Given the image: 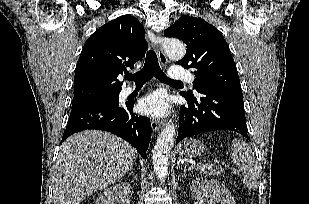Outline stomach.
<instances>
[{"label":"stomach","instance_id":"0dacf381","mask_svg":"<svg viewBox=\"0 0 309 204\" xmlns=\"http://www.w3.org/2000/svg\"><path fill=\"white\" fill-rule=\"evenodd\" d=\"M205 151L203 143L196 139H186L178 146L179 155L187 158H195Z\"/></svg>","mask_w":309,"mask_h":204}]
</instances>
